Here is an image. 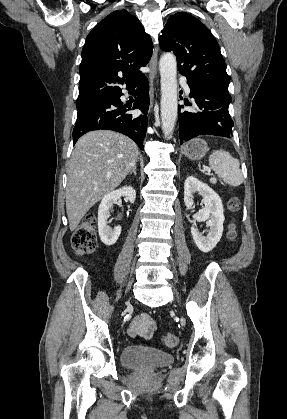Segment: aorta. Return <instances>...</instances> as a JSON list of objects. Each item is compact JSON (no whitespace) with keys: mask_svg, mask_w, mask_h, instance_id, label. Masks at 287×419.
I'll return each instance as SVG.
<instances>
[{"mask_svg":"<svg viewBox=\"0 0 287 419\" xmlns=\"http://www.w3.org/2000/svg\"><path fill=\"white\" fill-rule=\"evenodd\" d=\"M161 77V123L166 139H169L177 119V62L172 53H165L159 62Z\"/></svg>","mask_w":287,"mask_h":419,"instance_id":"1","label":"aorta"}]
</instances>
